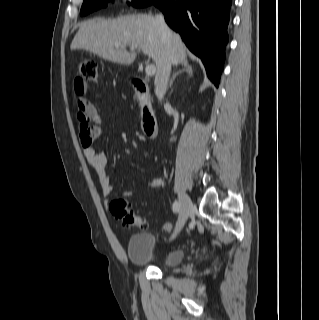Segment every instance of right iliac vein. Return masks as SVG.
I'll return each instance as SVG.
<instances>
[{
	"label": "right iliac vein",
	"mask_w": 319,
	"mask_h": 320,
	"mask_svg": "<svg viewBox=\"0 0 319 320\" xmlns=\"http://www.w3.org/2000/svg\"><path fill=\"white\" fill-rule=\"evenodd\" d=\"M179 202H180V207H181V213H180V217L177 222L175 234L173 235V237H175L177 235V233L182 230V228L184 227V225L189 217V214L193 210V203L187 194L180 193L179 194Z\"/></svg>",
	"instance_id": "obj_1"
}]
</instances>
